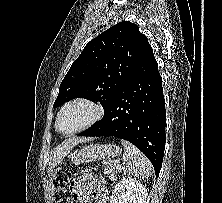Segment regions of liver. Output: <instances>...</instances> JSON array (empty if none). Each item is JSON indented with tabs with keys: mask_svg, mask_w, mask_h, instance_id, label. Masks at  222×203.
I'll list each match as a JSON object with an SVG mask.
<instances>
[{
	"mask_svg": "<svg viewBox=\"0 0 222 203\" xmlns=\"http://www.w3.org/2000/svg\"><path fill=\"white\" fill-rule=\"evenodd\" d=\"M87 141H89V138H70L57 146L51 153L49 174L52 176L55 167L62 162L74 146Z\"/></svg>",
	"mask_w": 222,
	"mask_h": 203,
	"instance_id": "obj_1",
	"label": "liver"
}]
</instances>
